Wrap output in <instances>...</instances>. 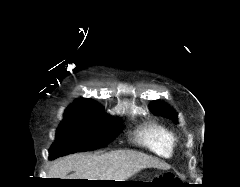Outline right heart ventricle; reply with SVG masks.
<instances>
[{
	"mask_svg": "<svg viewBox=\"0 0 240 187\" xmlns=\"http://www.w3.org/2000/svg\"><path fill=\"white\" fill-rule=\"evenodd\" d=\"M135 140L142 147L163 158L173 156L178 142L173 130L157 122L142 125L136 131Z\"/></svg>",
	"mask_w": 240,
	"mask_h": 187,
	"instance_id": "e07e8e85",
	"label": "right heart ventricle"
}]
</instances>
